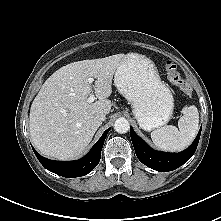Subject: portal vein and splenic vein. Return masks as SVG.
<instances>
[{"label": "portal vein and splenic vein", "instance_id": "18ae733b", "mask_svg": "<svg viewBox=\"0 0 221 221\" xmlns=\"http://www.w3.org/2000/svg\"><path fill=\"white\" fill-rule=\"evenodd\" d=\"M94 81V79L93 78H88V83H92ZM94 100H95V96L92 94V95H90L89 97H88V99H87V103H92V102H94Z\"/></svg>", "mask_w": 221, "mask_h": 221}]
</instances>
